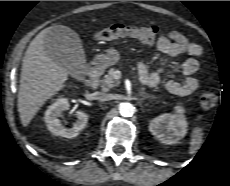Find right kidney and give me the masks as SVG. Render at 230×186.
Returning a JSON list of instances; mask_svg holds the SVG:
<instances>
[{
	"label": "right kidney",
	"instance_id": "obj_1",
	"mask_svg": "<svg viewBox=\"0 0 230 186\" xmlns=\"http://www.w3.org/2000/svg\"><path fill=\"white\" fill-rule=\"evenodd\" d=\"M69 107L70 105L66 98H59L46 110L44 119L49 131L54 135L74 138L85 128L88 121V115L83 111H76L75 115L77 120L72 128H65L62 125L59 117H61L62 112L68 110Z\"/></svg>",
	"mask_w": 230,
	"mask_h": 186
}]
</instances>
